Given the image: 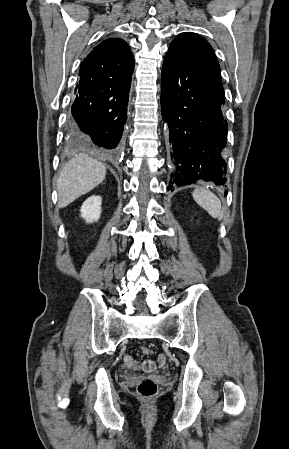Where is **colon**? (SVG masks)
I'll return each instance as SVG.
<instances>
[{
	"label": "colon",
	"mask_w": 289,
	"mask_h": 449,
	"mask_svg": "<svg viewBox=\"0 0 289 449\" xmlns=\"http://www.w3.org/2000/svg\"><path fill=\"white\" fill-rule=\"evenodd\" d=\"M142 351L146 355L153 353L152 349L147 346H144ZM137 391L144 398H152L157 393V384L150 378H144L139 382Z\"/></svg>",
	"instance_id": "5ec220e1"
}]
</instances>
